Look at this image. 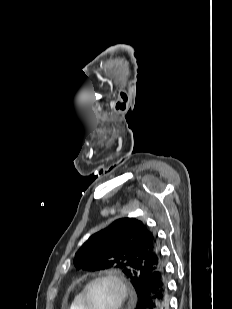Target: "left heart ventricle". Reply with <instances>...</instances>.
<instances>
[{"label": "left heart ventricle", "instance_id": "obj_1", "mask_svg": "<svg viewBox=\"0 0 232 309\" xmlns=\"http://www.w3.org/2000/svg\"><path fill=\"white\" fill-rule=\"evenodd\" d=\"M119 291L109 281H99L93 284L88 293L90 309H114L118 304Z\"/></svg>", "mask_w": 232, "mask_h": 309}]
</instances>
